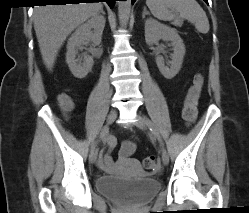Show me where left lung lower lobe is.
Masks as SVG:
<instances>
[{
  "mask_svg": "<svg viewBox=\"0 0 249 213\" xmlns=\"http://www.w3.org/2000/svg\"><path fill=\"white\" fill-rule=\"evenodd\" d=\"M205 2H207L208 3V1L207 0H204ZM135 2V0H132V4Z\"/></svg>",
  "mask_w": 249,
  "mask_h": 213,
  "instance_id": "left-lung-lower-lobe-1",
  "label": "left lung lower lobe"
}]
</instances>
